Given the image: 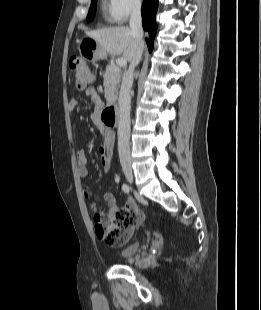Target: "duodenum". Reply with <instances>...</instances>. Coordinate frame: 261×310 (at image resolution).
<instances>
[{
  "label": "duodenum",
  "instance_id": "obj_1",
  "mask_svg": "<svg viewBox=\"0 0 261 310\" xmlns=\"http://www.w3.org/2000/svg\"><path fill=\"white\" fill-rule=\"evenodd\" d=\"M102 122L105 126L113 128L117 124V107L114 104L107 105L101 114Z\"/></svg>",
  "mask_w": 261,
  "mask_h": 310
}]
</instances>
